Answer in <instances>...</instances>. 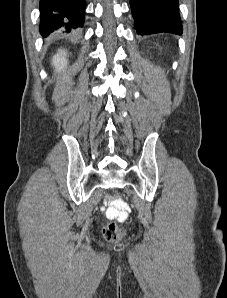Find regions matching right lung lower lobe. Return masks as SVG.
<instances>
[{"mask_svg": "<svg viewBox=\"0 0 227 298\" xmlns=\"http://www.w3.org/2000/svg\"><path fill=\"white\" fill-rule=\"evenodd\" d=\"M85 0H40V33H69L84 24Z\"/></svg>", "mask_w": 227, "mask_h": 298, "instance_id": "98d812e1", "label": "right lung lower lobe"}]
</instances>
